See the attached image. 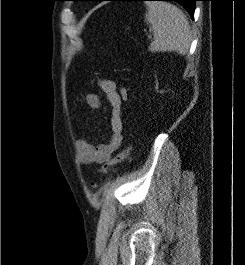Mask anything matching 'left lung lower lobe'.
Masks as SVG:
<instances>
[{"label": "left lung lower lobe", "instance_id": "obj_1", "mask_svg": "<svg viewBox=\"0 0 245 265\" xmlns=\"http://www.w3.org/2000/svg\"><path fill=\"white\" fill-rule=\"evenodd\" d=\"M87 1H147V0H87ZM162 1H176L180 3L189 12L191 17L194 16L195 1L199 0H162Z\"/></svg>", "mask_w": 245, "mask_h": 265}]
</instances>
